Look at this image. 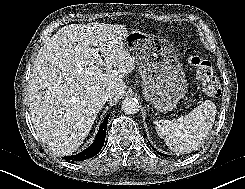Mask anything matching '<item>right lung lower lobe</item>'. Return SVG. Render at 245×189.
Returning <instances> with one entry per match:
<instances>
[{
  "label": "right lung lower lobe",
  "mask_w": 245,
  "mask_h": 189,
  "mask_svg": "<svg viewBox=\"0 0 245 189\" xmlns=\"http://www.w3.org/2000/svg\"><path fill=\"white\" fill-rule=\"evenodd\" d=\"M108 117H109V114L104 118V121L102 122L98 130L96 138L90 147L78 153L77 155L67 156L63 158L67 160H72V161H81V160H86V159H89L97 155L102 149L104 142H105Z\"/></svg>",
  "instance_id": "98d812e1"
}]
</instances>
